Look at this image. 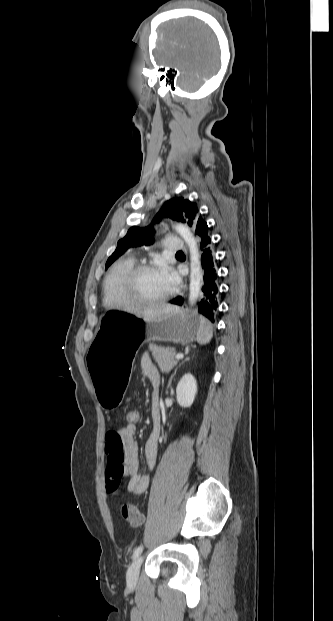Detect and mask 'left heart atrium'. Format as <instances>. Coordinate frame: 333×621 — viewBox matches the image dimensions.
<instances>
[{
  "instance_id": "left-heart-atrium-1",
  "label": "left heart atrium",
  "mask_w": 333,
  "mask_h": 621,
  "mask_svg": "<svg viewBox=\"0 0 333 621\" xmlns=\"http://www.w3.org/2000/svg\"><path fill=\"white\" fill-rule=\"evenodd\" d=\"M163 275L165 277V279L167 280L170 288L172 289L177 283H178V278L176 276V274L170 270V269H164L163 270Z\"/></svg>"
}]
</instances>
